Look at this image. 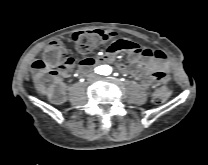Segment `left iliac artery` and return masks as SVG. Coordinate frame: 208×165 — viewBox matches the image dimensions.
I'll return each mask as SVG.
<instances>
[{"instance_id":"1","label":"left iliac artery","mask_w":208,"mask_h":165,"mask_svg":"<svg viewBox=\"0 0 208 165\" xmlns=\"http://www.w3.org/2000/svg\"><path fill=\"white\" fill-rule=\"evenodd\" d=\"M107 74H109V71H107V72L104 73V75H107Z\"/></svg>"}]
</instances>
